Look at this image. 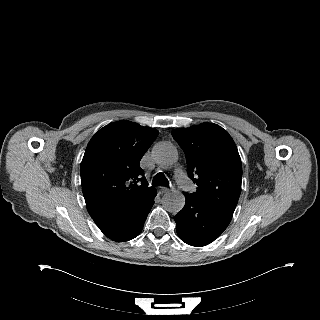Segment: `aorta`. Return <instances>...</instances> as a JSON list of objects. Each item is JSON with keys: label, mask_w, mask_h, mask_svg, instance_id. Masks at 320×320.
<instances>
[{"label": "aorta", "mask_w": 320, "mask_h": 320, "mask_svg": "<svg viewBox=\"0 0 320 320\" xmlns=\"http://www.w3.org/2000/svg\"><path fill=\"white\" fill-rule=\"evenodd\" d=\"M152 159L163 168L174 165L178 160L176 148L168 142L156 144L152 150ZM164 208L171 213H178L185 205V196L179 191H171L162 198Z\"/></svg>", "instance_id": "obj_1"}]
</instances>
